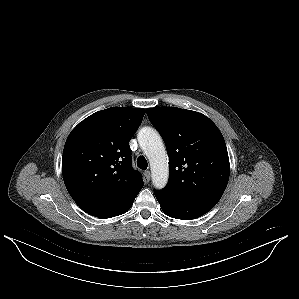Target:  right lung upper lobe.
<instances>
[{
  "instance_id": "obj_1",
  "label": "right lung upper lobe",
  "mask_w": 299,
  "mask_h": 299,
  "mask_svg": "<svg viewBox=\"0 0 299 299\" xmlns=\"http://www.w3.org/2000/svg\"><path fill=\"white\" fill-rule=\"evenodd\" d=\"M144 114L142 108H108L90 115L69 134L62 174L77 204L113 198L117 213H124L133 204L144 183L131 167L129 140Z\"/></svg>"
}]
</instances>
